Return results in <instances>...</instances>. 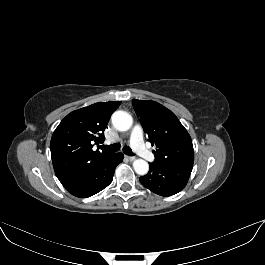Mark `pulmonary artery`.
<instances>
[{"mask_svg": "<svg viewBox=\"0 0 265 265\" xmlns=\"http://www.w3.org/2000/svg\"><path fill=\"white\" fill-rule=\"evenodd\" d=\"M130 144L135 152L148 161L154 160L153 153L145 146L143 141V130L140 125L133 126L130 134Z\"/></svg>", "mask_w": 265, "mask_h": 265, "instance_id": "pulmonary-artery-1", "label": "pulmonary artery"}]
</instances>
